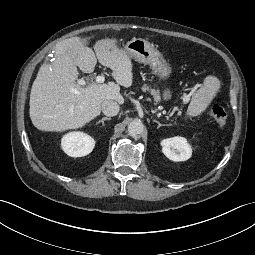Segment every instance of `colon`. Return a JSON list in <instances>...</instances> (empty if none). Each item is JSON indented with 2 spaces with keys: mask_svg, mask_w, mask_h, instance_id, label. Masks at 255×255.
<instances>
[{
  "mask_svg": "<svg viewBox=\"0 0 255 255\" xmlns=\"http://www.w3.org/2000/svg\"><path fill=\"white\" fill-rule=\"evenodd\" d=\"M209 112L220 127H224L227 124V113L218 101L213 100L211 102Z\"/></svg>",
  "mask_w": 255,
  "mask_h": 255,
  "instance_id": "5ec220e1",
  "label": "colon"
}]
</instances>
